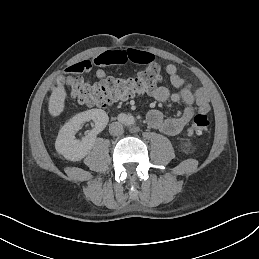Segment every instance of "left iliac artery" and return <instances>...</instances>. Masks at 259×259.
<instances>
[{"instance_id":"1","label":"left iliac artery","mask_w":259,"mask_h":259,"mask_svg":"<svg viewBox=\"0 0 259 259\" xmlns=\"http://www.w3.org/2000/svg\"><path fill=\"white\" fill-rule=\"evenodd\" d=\"M126 123H127L128 125H133V124L135 123L134 117H133V116H128V117H127V120H126Z\"/></svg>"}]
</instances>
